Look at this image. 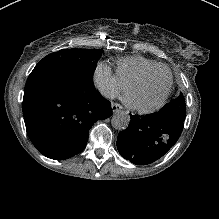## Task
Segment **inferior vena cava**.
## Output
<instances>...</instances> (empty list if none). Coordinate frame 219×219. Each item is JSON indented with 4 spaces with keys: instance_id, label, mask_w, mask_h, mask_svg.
Returning a JSON list of instances; mask_svg holds the SVG:
<instances>
[{
    "instance_id": "602c4592",
    "label": "inferior vena cava",
    "mask_w": 219,
    "mask_h": 219,
    "mask_svg": "<svg viewBox=\"0 0 219 219\" xmlns=\"http://www.w3.org/2000/svg\"><path fill=\"white\" fill-rule=\"evenodd\" d=\"M102 91H103L104 96H106L107 98H114L116 96L115 92H112L108 89H103Z\"/></svg>"
}]
</instances>
